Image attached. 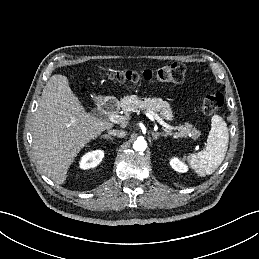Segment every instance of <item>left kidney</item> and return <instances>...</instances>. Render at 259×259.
Returning <instances> with one entry per match:
<instances>
[{
  "label": "left kidney",
  "instance_id": "1",
  "mask_svg": "<svg viewBox=\"0 0 259 259\" xmlns=\"http://www.w3.org/2000/svg\"><path fill=\"white\" fill-rule=\"evenodd\" d=\"M170 165L175 171L180 173H185L188 170L187 166L176 157L170 160Z\"/></svg>",
  "mask_w": 259,
  "mask_h": 259
}]
</instances>
